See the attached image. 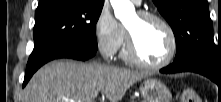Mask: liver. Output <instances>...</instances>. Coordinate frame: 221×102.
<instances>
[{
    "instance_id": "obj_1",
    "label": "liver",
    "mask_w": 221,
    "mask_h": 102,
    "mask_svg": "<svg viewBox=\"0 0 221 102\" xmlns=\"http://www.w3.org/2000/svg\"><path fill=\"white\" fill-rule=\"evenodd\" d=\"M143 71L71 60L52 61L40 68L24 89V102H119Z\"/></svg>"
}]
</instances>
